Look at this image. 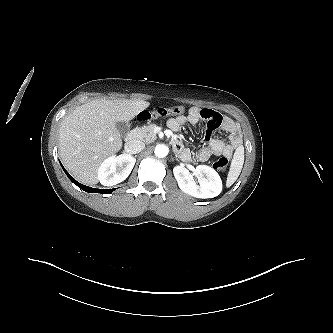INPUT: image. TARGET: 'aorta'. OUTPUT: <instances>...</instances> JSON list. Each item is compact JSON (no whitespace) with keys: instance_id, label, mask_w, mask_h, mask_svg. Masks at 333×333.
<instances>
[{"instance_id":"1","label":"aorta","mask_w":333,"mask_h":333,"mask_svg":"<svg viewBox=\"0 0 333 333\" xmlns=\"http://www.w3.org/2000/svg\"><path fill=\"white\" fill-rule=\"evenodd\" d=\"M169 150L168 147L164 144H159L155 147V155L159 158L166 157L168 154Z\"/></svg>"}]
</instances>
